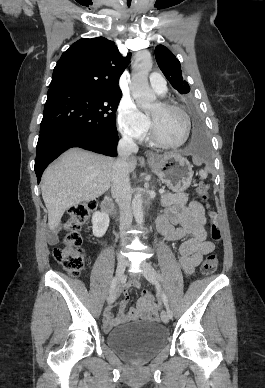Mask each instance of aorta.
<instances>
[{
	"label": "aorta",
	"instance_id": "762f6f07",
	"mask_svg": "<svg viewBox=\"0 0 265 388\" xmlns=\"http://www.w3.org/2000/svg\"><path fill=\"white\" fill-rule=\"evenodd\" d=\"M132 82L130 89L137 104L143 109L150 108L156 96L152 92L148 83V74L152 68V58L149 52L141 51L137 53L133 63ZM132 211L138 225L142 226L144 214L142 207V195L137 193L132 201Z\"/></svg>",
	"mask_w": 265,
	"mask_h": 388
}]
</instances>
